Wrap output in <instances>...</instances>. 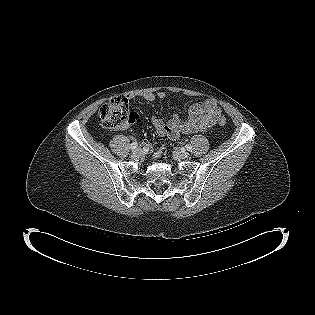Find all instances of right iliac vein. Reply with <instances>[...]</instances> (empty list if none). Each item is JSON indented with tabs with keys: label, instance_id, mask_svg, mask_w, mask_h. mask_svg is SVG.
<instances>
[{
	"label": "right iliac vein",
	"instance_id": "1",
	"mask_svg": "<svg viewBox=\"0 0 315 315\" xmlns=\"http://www.w3.org/2000/svg\"><path fill=\"white\" fill-rule=\"evenodd\" d=\"M141 154V149L140 148H136L135 150L132 151V156L133 157H137Z\"/></svg>",
	"mask_w": 315,
	"mask_h": 315
}]
</instances>
